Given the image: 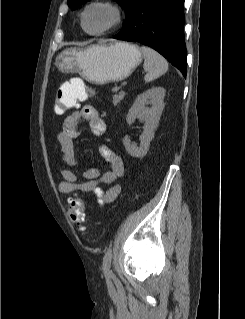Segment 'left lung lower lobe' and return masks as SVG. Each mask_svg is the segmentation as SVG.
I'll list each match as a JSON object with an SVG mask.
<instances>
[{"instance_id":"0a47b994","label":"left lung lower lobe","mask_w":245,"mask_h":319,"mask_svg":"<svg viewBox=\"0 0 245 319\" xmlns=\"http://www.w3.org/2000/svg\"><path fill=\"white\" fill-rule=\"evenodd\" d=\"M183 5L184 0H139L114 38L152 47L186 76Z\"/></svg>"}]
</instances>
